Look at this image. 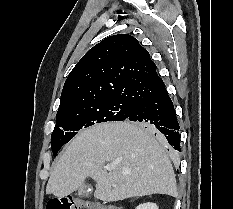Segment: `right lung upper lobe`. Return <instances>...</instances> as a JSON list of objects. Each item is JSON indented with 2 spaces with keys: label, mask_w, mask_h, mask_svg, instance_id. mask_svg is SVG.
I'll list each match as a JSON object with an SVG mask.
<instances>
[{
  "label": "right lung upper lobe",
  "mask_w": 233,
  "mask_h": 209,
  "mask_svg": "<svg viewBox=\"0 0 233 209\" xmlns=\"http://www.w3.org/2000/svg\"><path fill=\"white\" fill-rule=\"evenodd\" d=\"M163 88L148 51L133 36H110L92 47L70 72L57 115L109 98L138 104Z\"/></svg>",
  "instance_id": "cb5924a9"
}]
</instances>
